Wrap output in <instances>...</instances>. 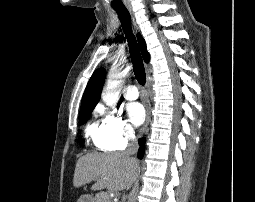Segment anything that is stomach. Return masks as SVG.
<instances>
[{"label":"stomach","mask_w":255,"mask_h":202,"mask_svg":"<svg viewBox=\"0 0 255 202\" xmlns=\"http://www.w3.org/2000/svg\"><path fill=\"white\" fill-rule=\"evenodd\" d=\"M77 202H94V199L90 196H82Z\"/></svg>","instance_id":"stomach-1"}]
</instances>
